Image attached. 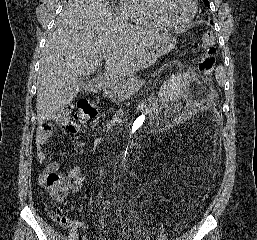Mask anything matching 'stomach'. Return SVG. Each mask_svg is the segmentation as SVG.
Returning a JSON list of instances; mask_svg holds the SVG:
<instances>
[{
    "mask_svg": "<svg viewBox=\"0 0 257 240\" xmlns=\"http://www.w3.org/2000/svg\"><path fill=\"white\" fill-rule=\"evenodd\" d=\"M176 38L167 35L159 43L149 49L134 65L128 68L129 72L139 71L152 65L158 58L169 53L176 47Z\"/></svg>",
    "mask_w": 257,
    "mask_h": 240,
    "instance_id": "obj_1",
    "label": "stomach"
}]
</instances>
